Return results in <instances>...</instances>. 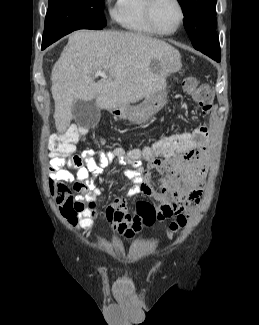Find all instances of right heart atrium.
<instances>
[{"mask_svg":"<svg viewBox=\"0 0 259 325\" xmlns=\"http://www.w3.org/2000/svg\"><path fill=\"white\" fill-rule=\"evenodd\" d=\"M110 2H111V0H104V4H105V5H109Z\"/></svg>","mask_w":259,"mask_h":325,"instance_id":"d8ad5b80","label":"right heart atrium"}]
</instances>
